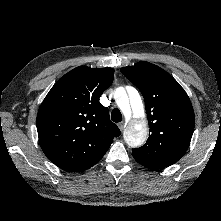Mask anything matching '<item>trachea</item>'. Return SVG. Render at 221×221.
<instances>
[{
  "label": "trachea",
  "instance_id": "1",
  "mask_svg": "<svg viewBox=\"0 0 221 221\" xmlns=\"http://www.w3.org/2000/svg\"><path fill=\"white\" fill-rule=\"evenodd\" d=\"M111 119H112L113 122H116V123L122 121V114H121L119 109L115 108V109L112 110Z\"/></svg>",
  "mask_w": 221,
  "mask_h": 221
}]
</instances>
